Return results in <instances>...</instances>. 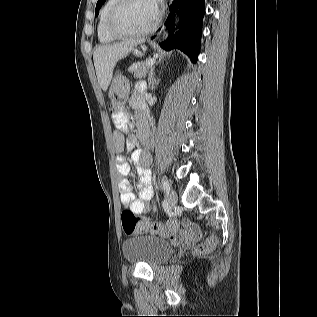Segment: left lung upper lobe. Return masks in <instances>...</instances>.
I'll list each match as a JSON object with an SVG mask.
<instances>
[{
	"label": "left lung upper lobe",
	"mask_w": 317,
	"mask_h": 317,
	"mask_svg": "<svg viewBox=\"0 0 317 317\" xmlns=\"http://www.w3.org/2000/svg\"><path fill=\"white\" fill-rule=\"evenodd\" d=\"M106 0H98L97 4H96V9H95V16H97L99 9L101 8V6L105 3Z\"/></svg>",
	"instance_id": "5c2ea615"
}]
</instances>
